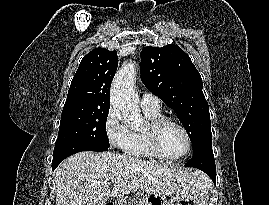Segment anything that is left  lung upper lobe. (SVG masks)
<instances>
[{
  "label": "left lung upper lobe",
  "mask_w": 269,
  "mask_h": 205,
  "mask_svg": "<svg viewBox=\"0 0 269 205\" xmlns=\"http://www.w3.org/2000/svg\"><path fill=\"white\" fill-rule=\"evenodd\" d=\"M141 80L177 114L194 144V153L212 143L209 106L202 92L201 76L179 46L144 48Z\"/></svg>",
  "instance_id": "obj_1"
}]
</instances>
